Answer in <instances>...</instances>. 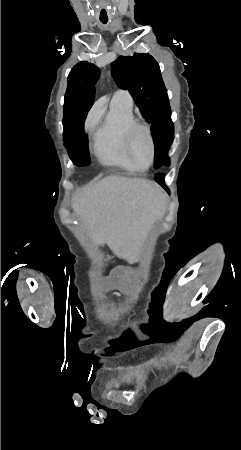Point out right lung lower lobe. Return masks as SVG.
I'll return each mask as SVG.
<instances>
[{"mask_svg":"<svg viewBox=\"0 0 241 450\" xmlns=\"http://www.w3.org/2000/svg\"><path fill=\"white\" fill-rule=\"evenodd\" d=\"M86 115L87 112L78 117V119L73 123L71 131L68 134L67 140L71 142L69 147V155H72L74 152H83L88 149L83 129Z\"/></svg>","mask_w":241,"mask_h":450,"instance_id":"1","label":"right lung lower lobe"}]
</instances>
